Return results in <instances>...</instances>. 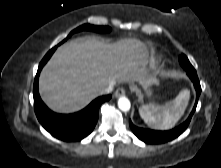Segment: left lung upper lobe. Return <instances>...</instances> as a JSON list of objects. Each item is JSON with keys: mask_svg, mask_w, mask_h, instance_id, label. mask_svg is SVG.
Instances as JSON below:
<instances>
[{"mask_svg": "<svg viewBox=\"0 0 221 168\" xmlns=\"http://www.w3.org/2000/svg\"><path fill=\"white\" fill-rule=\"evenodd\" d=\"M179 62L183 67V69L187 72V74L196 73L194 67L191 65V63L189 62L188 58L185 55H181L179 57Z\"/></svg>", "mask_w": 221, "mask_h": 168, "instance_id": "5c2ea615", "label": "left lung upper lobe"}]
</instances>
